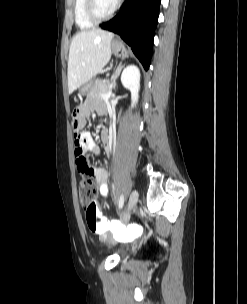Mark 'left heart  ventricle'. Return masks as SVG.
<instances>
[{
	"label": "left heart ventricle",
	"mask_w": 247,
	"mask_h": 304,
	"mask_svg": "<svg viewBox=\"0 0 247 304\" xmlns=\"http://www.w3.org/2000/svg\"><path fill=\"white\" fill-rule=\"evenodd\" d=\"M97 11L100 15L109 14L115 7L118 0H96Z\"/></svg>",
	"instance_id": "1"
}]
</instances>
